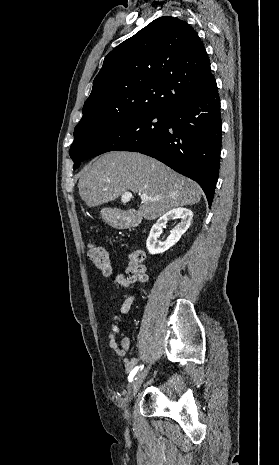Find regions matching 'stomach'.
<instances>
[{"instance_id": "0dacf381", "label": "stomach", "mask_w": 279, "mask_h": 465, "mask_svg": "<svg viewBox=\"0 0 279 465\" xmlns=\"http://www.w3.org/2000/svg\"><path fill=\"white\" fill-rule=\"evenodd\" d=\"M102 217L113 227L124 228L128 226L126 216L119 210L104 208L101 210Z\"/></svg>"}]
</instances>
